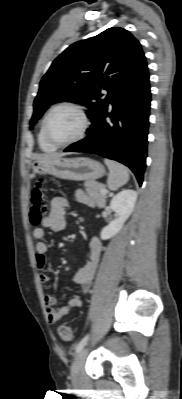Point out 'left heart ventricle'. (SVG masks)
<instances>
[{"instance_id":"left-heart-ventricle-1","label":"left heart ventricle","mask_w":182,"mask_h":399,"mask_svg":"<svg viewBox=\"0 0 182 399\" xmlns=\"http://www.w3.org/2000/svg\"><path fill=\"white\" fill-rule=\"evenodd\" d=\"M82 119L80 115L71 108H60L50 117L48 132L57 142L68 141L80 132Z\"/></svg>"}]
</instances>
